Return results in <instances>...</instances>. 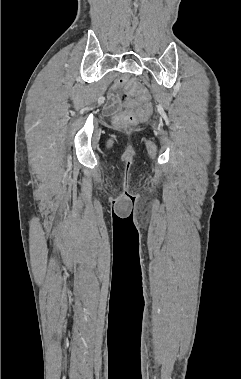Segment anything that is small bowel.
<instances>
[{"label": "small bowel", "mask_w": 241, "mask_h": 379, "mask_svg": "<svg viewBox=\"0 0 241 379\" xmlns=\"http://www.w3.org/2000/svg\"><path fill=\"white\" fill-rule=\"evenodd\" d=\"M116 97H117V94L114 93V92L109 95L108 101H107V104H106V107L108 109L114 108V106L116 104Z\"/></svg>", "instance_id": "c3829d8e"}]
</instances>
